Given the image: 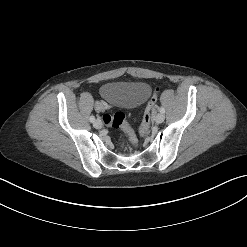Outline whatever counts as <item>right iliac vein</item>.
<instances>
[{
  "mask_svg": "<svg viewBox=\"0 0 247 247\" xmlns=\"http://www.w3.org/2000/svg\"><path fill=\"white\" fill-rule=\"evenodd\" d=\"M103 124H102V121L100 119H97L94 121V127L97 128V129H100L102 128Z\"/></svg>",
  "mask_w": 247,
  "mask_h": 247,
  "instance_id": "obj_1",
  "label": "right iliac vein"
}]
</instances>
